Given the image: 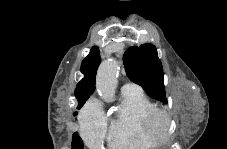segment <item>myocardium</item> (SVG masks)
I'll use <instances>...</instances> for the list:
<instances>
[{
	"mask_svg": "<svg viewBox=\"0 0 227 149\" xmlns=\"http://www.w3.org/2000/svg\"><path fill=\"white\" fill-rule=\"evenodd\" d=\"M146 127L157 144H168L171 140V119L169 114L161 109H154L146 117Z\"/></svg>",
	"mask_w": 227,
	"mask_h": 149,
	"instance_id": "f54148a6",
	"label": "myocardium"
}]
</instances>
